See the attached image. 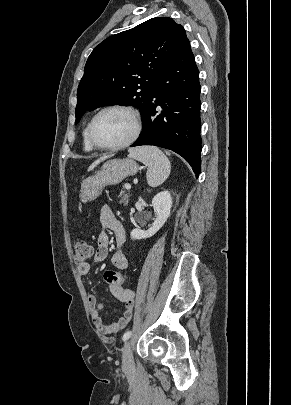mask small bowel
<instances>
[{
  "label": "small bowel",
  "instance_id": "small-bowel-1",
  "mask_svg": "<svg viewBox=\"0 0 291 405\" xmlns=\"http://www.w3.org/2000/svg\"><path fill=\"white\" fill-rule=\"evenodd\" d=\"M100 224L103 231L97 238V250L94 256L95 263L103 262L109 253V236L105 230H111L114 233L116 243L119 247L123 245L126 238L123 225L117 220L108 206H104L101 209ZM111 261L112 264L120 270L127 269L129 264L126 255L121 250L114 252ZM90 271L91 265L88 263L78 266V273L81 276H88ZM109 290L116 299L124 304L123 315L112 324H105L100 314L102 310L107 308V306L103 303H99L95 295H88V304L90 306L92 322L97 331L102 335H110L124 329L132 319V310L134 307L135 294L132 290L125 289L122 285L111 284H109Z\"/></svg>",
  "mask_w": 291,
  "mask_h": 405
}]
</instances>
